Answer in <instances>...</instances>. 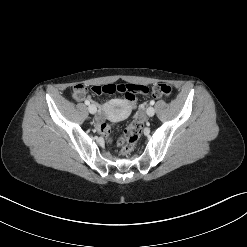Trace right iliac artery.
I'll return each mask as SVG.
<instances>
[{
    "mask_svg": "<svg viewBox=\"0 0 247 247\" xmlns=\"http://www.w3.org/2000/svg\"><path fill=\"white\" fill-rule=\"evenodd\" d=\"M85 104L86 105H89L90 104V101L89 100H85Z\"/></svg>",
    "mask_w": 247,
    "mask_h": 247,
    "instance_id": "right-iliac-artery-1",
    "label": "right iliac artery"
}]
</instances>
